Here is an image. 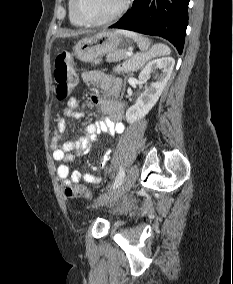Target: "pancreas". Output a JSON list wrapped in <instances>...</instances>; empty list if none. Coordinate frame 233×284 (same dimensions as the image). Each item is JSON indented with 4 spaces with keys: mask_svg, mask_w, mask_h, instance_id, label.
<instances>
[{
    "mask_svg": "<svg viewBox=\"0 0 233 284\" xmlns=\"http://www.w3.org/2000/svg\"><path fill=\"white\" fill-rule=\"evenodd\" d=\"M121 60H126L124 65L128 66L126 68L127 71L137 70L145 62V61H143V59L138 54L133 56L132 58H129L126 50H117V51H114V52L109 53L107 55V61L108 62H118V61H121ZM97 62H99V61H97Z\"/></svg>",
    "mask_w": 233,
    "mask_h": 284,
    "instance_id": "1",
    "label": "pancreas"
}]
</instances>
